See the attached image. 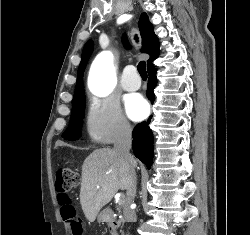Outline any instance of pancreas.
<instances>
[{
    "instance_id": "cf45deb5",
    "label": "pancreas",
    "mask_w": 250,
    "mask_h": 235,
    "mask_svg": "<svg viewBox=\"0 0 250 235\" xmlns=\"http://www.w3.org/2000/svg\"><path fill=\"white\" fill-rule=\"evenodd\" d=\"M123 199L121 201H119V207H121L123 205Z\"/></svg>"
}]
</instances>
